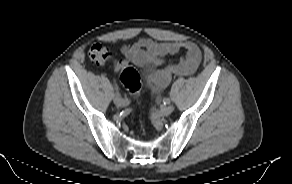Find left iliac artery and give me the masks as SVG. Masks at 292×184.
Returning <instances> with one entry per match:
<instances>
[{
	"instance_id": "left-iliac-artery-1",
	"label": "left iliac artery",
	"mask_w": 292,
	"mask_h": 184,
	"mask_svg": "<svg viewBox=\"0 0 292 184\" xmlns=\"http://www.w3.org/2000/svg\"><path fill=\"white\" fill-rule=\"evenodd\" d=\"M163 103L166 105V104H169L170 103V100L168 98H164L163 99Z\"/></svg>"
}]
</instances>
